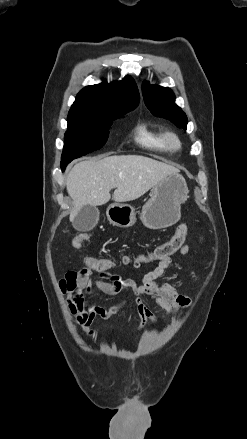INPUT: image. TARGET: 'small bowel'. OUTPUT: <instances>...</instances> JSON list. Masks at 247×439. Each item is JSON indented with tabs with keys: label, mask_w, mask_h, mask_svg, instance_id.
Returning a JSON list of instances; mask_svg holds the SVG:
<instances>
[{
	"label": "small bowel",
	"mask_w": 247,
	"mask_h": 439,
	"mask_svg": "<svg viewBox=\"0 0 247 439\" xmlns=\"http://www.w3.org/2000/svg\"><path fill=\"white\" fill-rule=\"evenodd\" d=\"M190 251L189 245H184L180 249L182 255H186ZM171 264V258L159 261L153 270L144 275L141 283H137L130 278H123L118 274H112L108 270L97 273L98 276L95 277L96 272L84 268L79 271L68 272L61 279L59 286L61 292L67 296L66 305L73 321L87 332L88 335L92 337L97 336L91 328L92 322L96 317L108 319L120 312L126 305V300L110 308L90 303L87 299L94 288L110 296L118 295L121 292L134 295V312L140 318L137 330L141 331L147 322L156 323V317L145 304L144 298L154 301L169 316L178 314L190 305V298L179 294L169 283H159L157 281L170 268ZM191 277L193 279L196 278L194 273L191 274Z\"/></svg>",
	"instance_id": "1"
}]
</instances>
